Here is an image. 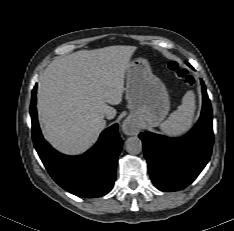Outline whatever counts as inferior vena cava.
<instances>
[{"label":"inferior vena cava","mask_w":234,"mask_h":231,"mask_svg":"<svg viewBox=\"0 0 234 231\" xmlns=\"http://www.w3.org/2000/svg\"><path fill=\"white\" fill-rule=\"evenodd\" d=\"M107 118H108V119H111V117H110L109 115H107Z\"/></svg>","instance_id":"602c4592"}]
</instances>
